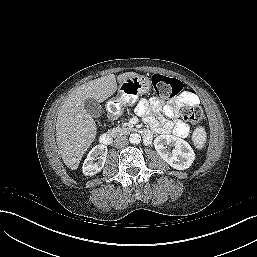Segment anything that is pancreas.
<instances>
[{
    "instance_id": "cf45deb5",
    "label": "pancreas",
    "mask_w": 257,
    "mask_h": 257,
    "mask_svg": "<svg viewBox=\"0 0 257 257\" xmlns=\"http://www.w3.org/2000/svg\"><path fill=\"white\" fill-rule=\"evenodd\" d=\"M132 130V128L122 125L109 130V133L113 136L128 135Z\"/></svg>"
}]
</instances>
